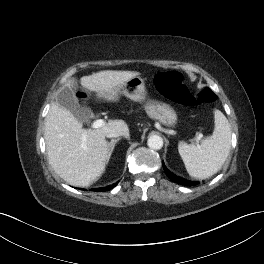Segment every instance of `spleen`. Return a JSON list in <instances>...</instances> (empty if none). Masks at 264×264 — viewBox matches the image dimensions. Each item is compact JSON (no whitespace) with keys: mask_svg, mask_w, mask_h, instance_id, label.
Listing matches in <instances>:
<instances>
[{"mask_svg":"<svg viewBox=\"0 0 264 264\" xmlns=\"http://www.w3.org/2000/svg\"><path fill=\"white\" fill-rule=\"evenodd\" d=\"M213 134L201 144L179 142L178 152L190 176L205 179L217 173L225 163L231 148V128L220 110L214 111Z\"/></svg>","mask_w":264,"mask_h":264,"instance_id":"obj_1","label":"spleen"}]
</instances>
